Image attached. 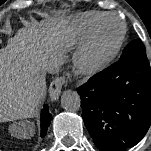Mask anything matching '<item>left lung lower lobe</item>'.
<instances>
[{"instance_id": "1", "label": "left lung lower lobe", "mask_w": 151, "mask_h": 151, "mask_svg": "<svg viewBox=\"0 0 151 151\" xmlns=\"http://www.w3.org/2000/svg\"><path fill=\"white\" fill-rule=\"evenodd\" d=\"M77 92L85 126L100 151H124L148 131L151 68L146 54L115 62Z\"/></svg>"}]
</instances>
